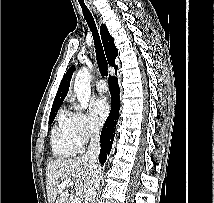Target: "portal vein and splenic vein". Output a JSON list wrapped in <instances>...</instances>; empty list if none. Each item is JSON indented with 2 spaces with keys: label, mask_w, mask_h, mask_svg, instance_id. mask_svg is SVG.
I'll return each instance as SVG.
<instances>
[{
  "label": "portal vein and splenic vein",
  "mask_w": 214,
  "mask_h": 203,
  "mask_svg": "<svg viewBox=\"0 0 214 203\" xmlns=\"http://www.w3.org/2000/svg\"><path fill=\"white\" fill-rule=\"evenodd\" d=\"M69 186H73V182L72 181H64L59 185L58 191L61 192L64 188L69 187ZM71 203H81V199L79 197H75L71 201Z\"/></svg>",
  "instance_id": "1"
}]
</instances>
